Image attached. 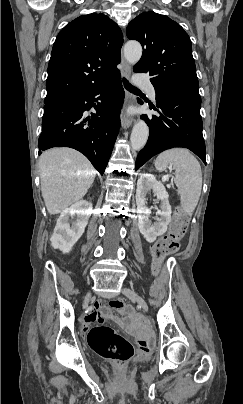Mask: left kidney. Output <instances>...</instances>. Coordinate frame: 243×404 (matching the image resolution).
<instances>
[{
	"label": "left kidney",
	"instance_id": "left-kidney-1",
	"mask_svg": "<svg viewBox=\"0 0 243 404\" xmlns=\"http://www.w3.org/2000/svg\"><path fill=\"white\" fill-rule=\"evenodd\" d=\"M150 190H152L158 202H160V210H157L160 218H156L154 224L149 220L151 210H148L146 206V194ZM168 198L165 186L161 182H157L155 176H152V174H140L136 190L138 228L140 234H143L146 242H149V244L155 242L157 236H163L167 232V228L171 222V206Z\"/></svg>",
	"mask_w": 243,
	"mask_h": 404
}]
</instances>
